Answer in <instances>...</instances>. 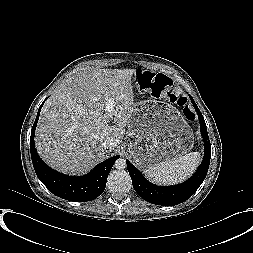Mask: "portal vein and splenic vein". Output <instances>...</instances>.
I'll return each mask as SVG.
<instances>
[{"mask_svg":"<svg viewBox=\"0 0 253 253\" xmlns=\"http://www.w3.org/2000/svg\"><path fill=\"white\" fill-rule=\"evenodd\" d=\"M107 117L112 118L114 115V102L112 99H109L106 103Z\"/></svg>","mask_w":253,"mask_h":253,"instance_id":"18ae733b","label":"portal vein and splenic vein"}]
</instances>
